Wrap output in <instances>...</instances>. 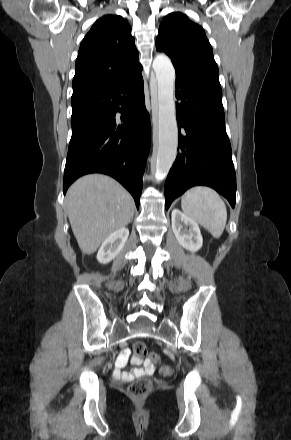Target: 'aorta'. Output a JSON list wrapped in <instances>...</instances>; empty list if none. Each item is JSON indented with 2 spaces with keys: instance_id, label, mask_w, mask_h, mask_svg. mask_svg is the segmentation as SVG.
I'll return each mask as SVG.
<instances>
[{
  "instance_id": "aorta-1",
  "label": "aorta",
  "mask_w": 291,
  "mask_h": 440,
  "mask_svg": "<svg viewBox=\"0 0 291 440\" xmlns=\"http://www.w3.org/2000/svg\"><path fill=\"white\" fill-rule=\"evenodd\" d=\"M153 69L157 79L158 147L155 160V176L164 179L171 169L178 146V127L173 98L175 70L164 54L154 58Z\"/></svg>"
}]
</instances>
